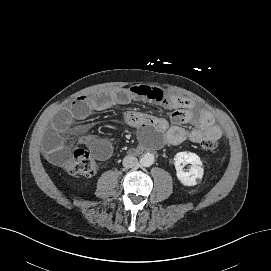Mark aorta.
<instances>
[{
	"label": "aorta",
	"instance_id": "obj_1",
	"mask_svg": "<svg viewBox=\"0 0 271 271\" xmlns=\"http://www.w3.org/2000/svg\"><path fill=\"white\" fill-rule=\"evenodd\" d=\"M154 163V156L151 153H146L140 158V164L143 167H150Z\"/></svg>",
	"mask_w": 271,
	"mask_h": 271
}]
</instances>
